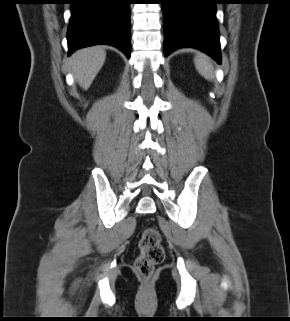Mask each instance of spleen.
<instances>
[{
    "mask_svg": "<svg viewBox=\"0 0 290 321\" xmlns=\"http://www.w3.org/2000/svg\"><path fill=\"white\" fill-rule=\"evenodd\" d=\"M195 66L198 72L206 79L212 80L213 75V66L210 63L209 59L205 56H197L195 58Z\"/></svg>",
    "mask_w": 290,
    "mask_h": 321,
    "instance_id": "3e777b00",
    "label": "spleen"
}]
</instances>
